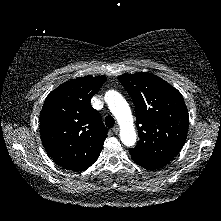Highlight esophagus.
Listing matches in <instances>:
<instances>
[{
    "mask_svg": "<svg viewBox=\"0 0 221 221\" xmlns=\"http://www.w3.org/2000/svg\"><path fill=\"white\" fill-rule=\"evenodd\" d=\"M112 130H113V132H114L115 134H118V132H119V126L116 125Z\"/></svg>",
    "mask_w": 221,
    "mask_h": 221,
    "instance_id": "obj_1",
    "label": "esophagus"
}]
</instances>
